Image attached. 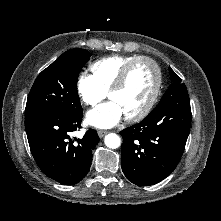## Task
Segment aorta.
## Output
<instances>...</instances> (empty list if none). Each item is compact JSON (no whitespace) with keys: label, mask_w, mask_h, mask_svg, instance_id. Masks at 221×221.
I'll list each match as a JSON object with an SVG mask.
<instances>
[{"label":"aorta","mask_w":221,"mask_h":221,"mask_svg":"<svg viewBox=\"0 0 221 221\" xmlns=\"http://www.w3.org/2000/svg\"><path fill=\"white\" fill-rule=\"evenodd\" d=\"M104 143L108 148L116 149L121 145V139L117 134L109 133L105 136Z\"/></svg>","instance_id":"1"}]
</instances>
